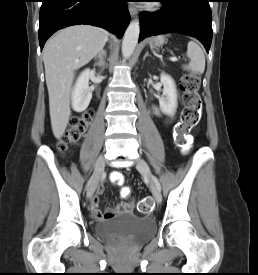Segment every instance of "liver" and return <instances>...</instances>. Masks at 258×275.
Returning <instances> with one entry per match:
<instances>
[{"instance_id": "1", "label": "liver", "mask_w": 258, "mask_h": 275, "mask_svg": "<svg viewBox=\"0 0 258 275\" xmlns=\"http://www.w3.org/2000/svg\"><path fill=\"white\" fill-rule=\"evenodd\" d=\"M108 33L99 27L75 25L51 37L43 51L52 132L59 139L71 115L70 94L75 71L103 50Z\"/></svg>"}]
</instances>
